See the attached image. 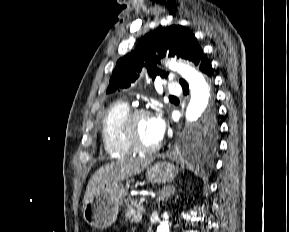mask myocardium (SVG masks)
<instances>
[{"label":"myocardium","mask_w":289,"mask_h":232,"mask_svg":"<svg viewBox=\"0 0 289 232\" xmlns=\"http://www.w3.org/2000/svg\"><path fill=\"white\" fill-rule=\"evenodd\" d=\"M142 116L152 117V113L151 111L145 108L135 107V108L129 109V111L123 117V120L121 123V134H122L124 141L134 152L141 153V154H151V153L156 152L159 149L160 144L157 143L154 146L147 147V146L142 145L138 141L136 134H135L134 125H135L136 120Z\"/></svg>","instance_id":"obj_1"}]
</instances>
